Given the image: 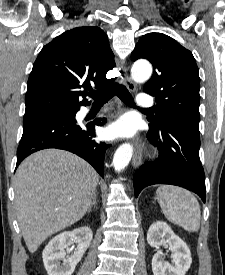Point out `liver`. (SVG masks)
<instances>
[{
    "label": "liver",
    "mask_w": 225,
    "mask_h": 275,
    "mask_svg": "<svg viewBox=\"0 0 225 275\" xmlns=\"http://www.w3.org/2000/svg\"><path fill=\"white\" fill-rule=\"evenodd\" d=\"M98 181L89 163L64 150H41L20 164L14 179L15 207L30 253L86 214Z\"/></svg>",
    "instance_id": "6515ba94"
}]
</instances>
